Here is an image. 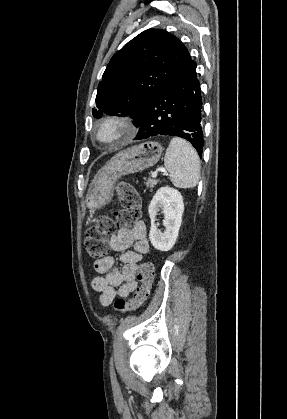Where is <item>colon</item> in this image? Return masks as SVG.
Wrapping results in <instances>:
<instances>
[{"label": "colon", "instance_id": "1", "mask_svg": "<svg viewBox=\"0 0 287 419\" xmlns=\"http://www.w3.org/2000/svg\"><path fill=\"white\" fill-rule=\"evenodd\" d=\"M117 193L121 209L112 217L99 216L94 226L85 233L84 245L89 258L98 262L106 257L109 251L108 237L115 233L118 226L131 225L140 216V195L137 190L127 182L117 185ZM154 270L149 262H143L138 269L140 286L129 300L118 299L114 302L116 312H128L138 309L149 297Z\"/></svg>", "mask_w": 287, "mask_h": 419}]
</instances>
